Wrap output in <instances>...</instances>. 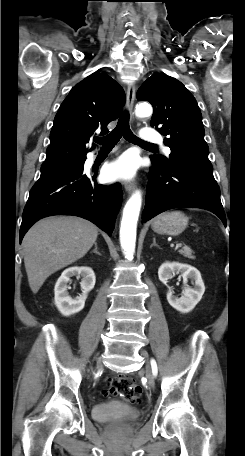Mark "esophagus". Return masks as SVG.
Instances as JSON below:
<instances>
[{
  "mask_svg": "<svg viewBox=\"0 0 245 456\" xmlns=\"http://www.w3.org/2000/svg\"><path fill=\"white\" fill-rule=\"evenodd\" d=\"M135 85L130 84L127 89L126 93V107L130 115H133V105H134V100H135ZM125 190L127 192H132L136 188V182L135 181H128L125 182L124 184Z\"/></svg>",
  "mask_w": 245,
  "mask_h": 456,
  "instance_id": "1",
  "label": "esophagus"
}]
</instances>
